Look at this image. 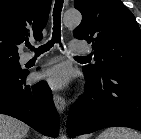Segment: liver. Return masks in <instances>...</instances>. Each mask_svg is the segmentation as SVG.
Here are the masks:
<instances>
[{
    "label": "liver",
    "instance_id": "obj_1",
    "mask_svg": "<svg viewBox=\"0 0 141 139\" xmlns=\"http://www.w3.org/2000/svg\"><path fill=\"white\" fill-rule=\"evenodd\" d=\"M29 126L8 115L0 114V139H24Z\"/></svg>",
    "mask_w": 141,
    "mask_h": 139
}]
</instances>
